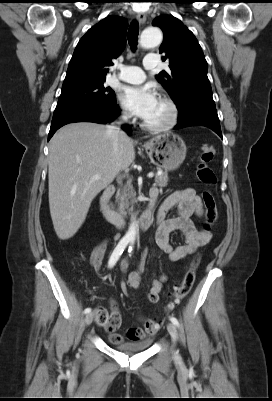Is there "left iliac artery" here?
I'll return each mask as SVG.
<instances>
[{"instance_id": "obj_1", "label": "left iliac artery", "mask_w": 272, "mask_h": 401, "mask_svg": "<svg viewBox=\"0 0 272 401\" xmlns=\"http://www.w3.org/2000/svg\"><path fill=\"white\" fill-rule=\"evenodd\" d=\"M133 243H134V240H131V246H129V250H128L129 253H131L132 250H133ZM170 321H171L174 325L179 326V322H178V320H177L175 317L170 316Z\"/></svg>"}]
</instances>
